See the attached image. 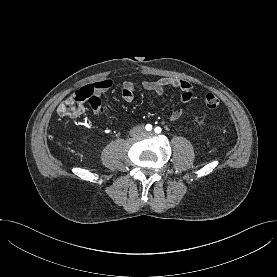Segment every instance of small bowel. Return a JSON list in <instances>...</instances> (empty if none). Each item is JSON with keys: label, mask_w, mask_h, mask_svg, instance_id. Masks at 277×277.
<instances>
[{"label": "small bowel", "mask_w": 277, "mask_h": 277, "mask_svg": "<svg viewBox=\"0 0 277 277\" xmlns=\"http://www.w3.org/2000/svg\"><path fill=\"white\" fill-rule=\"evenodd\" d=\"M113 86H114L113 80L103 79L81 88V89H86L91 91L93 99L90 102V106L93 110V113L96 116H101L103 113V107H102L100 96L106 91H108L110 88H112ZM141 86L143 89L151 91L158 96H162L166 88H176L181 92L179 97V102L181 105L189 102L192 99L194 94V86L190 82L186 80L178 79V78H173V77H164L155 81L145 80L141 83ZM121 94H122V98L126 102L133 101L135 97L134 84L130 81H125L122 84ZM183 111L184 110L182 106L177 107L170 113L169 119L171 121H175L179 119L182 116Z\"/></svg>", "instance_id": "c3829d8e"}]
</instances>
